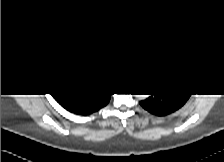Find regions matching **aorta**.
<instances>
[{"mask_svg": "<svg viewBox=\"0 0 224 162\" xmlns=\"http://www.w3.org/2000/svg\"><path fill=\"white\" fill-rule=\"evenodd\" d=\"M135 97H136L137 99H145V98L148 97V95H135Z\"/></svg>", "mask_w": 224, "mask_h": 162, "instance_id": "aorta-1", "label": "aorta"}]
</instances>
